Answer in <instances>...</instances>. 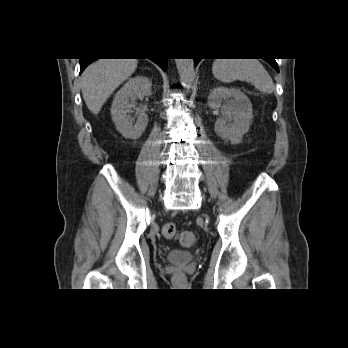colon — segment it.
<instances>
[{
  "label": "colon",
  "instance_id": "1",
  "mask_svg": "<svg viewBox=\"0 0 348 348\" xmlns=\"http://www.w3.org/2000/svg\"><path fill=\"white\" fill-rule=\"evenodd\" d=\"M164 237L172 239L177 237V230L174 224L166 223L162 228ZM180 243L185 247H192L196 243V236L193 232H184L179 236Z\"/></svg>",
  "mask_w": 348,
  "mask_h": 348
}]
</instances>
